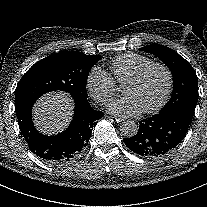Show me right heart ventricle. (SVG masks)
<instances>
[{
    "instance_id": "right-heart-ventricle-1",
    "label": "right heart ventricle",
    "mask_w": 207,
    "mask_h": 207,
    "mask_svg": "<svg viewBox=\"0 0 207 207\" xmlns=\"http://www.w3.org/2000/svg\"><path fill=\"white\" fill-rule=\"evenodd\" d=\"M153 61L139 54L127 53L117 57L112 63V81L114 84L123 83L144 66Z\"/></svg>"
}]
</instances>
